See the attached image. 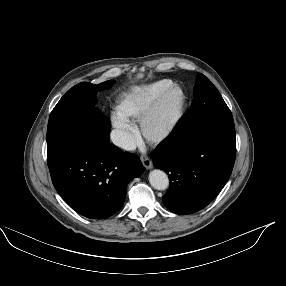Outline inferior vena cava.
I'll list each match as a JSON object with an SVG mask.
<instances>
[{
	"instance_id": "1",
	"label": "inferior vena cava",
	"mask_w": 286,
	"mask_h": 286,
	"mask_svg": "<svg viewBox=\"0 0 286 286\" xmlns=\"http://www.w3.org/2000/svg\"><path fill=\"white\" fill-rule=\"evenodd\" d=\"M111 140L113 144L125 150H133L136 147L133 136L127 131L113 130Z\"/></svg>"
}]
</instances>
